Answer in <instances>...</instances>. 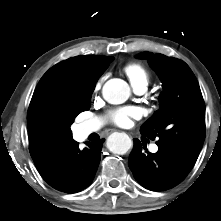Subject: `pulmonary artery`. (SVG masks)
Here are the masks:
<instances>
[{
  "mask_svg": "<svg viewBox=\"0 0 221 221\" xmlns=\"http://www.w3.org/2000/svg\"><path fill=\"white\" fill-rule=\"evenodd\" d=\"M133 89L137 94H143L147 90V85L146 84L135 85L133 86ZM101 126H102V121L97 119L85 123L83 129L86 134H89L91 132L99 130ZM149 148L150 151L153 153H156L158 151V146L156 144H151Z\"/></svg>",
  "mask_w": 221,
  "mask_h": 221,
  "instance_id": "1",
  "label": "pulmonary artery"
}]
</instances>
